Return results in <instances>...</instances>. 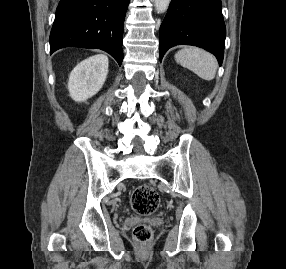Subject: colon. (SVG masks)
I'll use <instances>...</instances> for the list:
<instances>
[{"instance_id":"colon-1","label":"colon","mask_w":286,"mask_h":269,"mask_svg":"<svg viewBox=\"0 0 286 269\" xmlns=\"http://www.w3.org/2000/svg\"><path fill=\"white\" fill-rule=\"evenodd\" d=\"M130 202L137 214L150 215L158 208L160 198L151 186L143 184L134 189ZM133 234L136 242L144 245L150 241L152 230L148 225L139 224L134 228Z\"/></svg>"}]
</instances>
